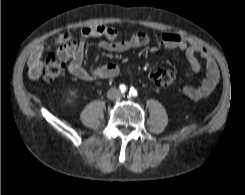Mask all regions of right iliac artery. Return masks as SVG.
I'll list each match as a JSON object with an SVG mask.
<instances>
[{
  "label": "right iliac artery",
  "mask_w": 245,
  "mask_h": 195,
  "mask_svg": "<svg viewBox=\"0 0 245 195\" xmlns=\"http://www.w3.org/2000/svg\"><path fill=\"white\" fill-rule=\"evenodd\" d=\"M119 89L121 90V92H125L126 90H127V87L124 85V84H121L120 86H119Z\"/></svg>",
  "instance_id": "right-iliac-artery-1"
}]
</instances>
